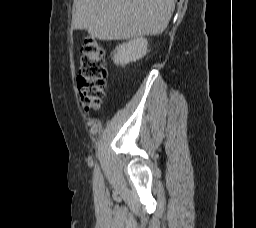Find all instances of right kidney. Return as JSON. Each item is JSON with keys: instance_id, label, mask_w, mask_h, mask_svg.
Segmentation results:
<instances>
[{"instance_id": "1", "label": "right kidney", "mask_w": 256, "mask_h": 228, "mask_svg": "<svg viewBox=\"0 0 256 228\" xmlns=\"http://www.w3.org/2000/svg\"><path fill=\"white\" fill-rule=\"evenodd\" d=\"M147 46V39L142 37L119 45L113 56L114 63L117 65H126L141 59L147 53Z\"/></svg>"}]
</instances>
